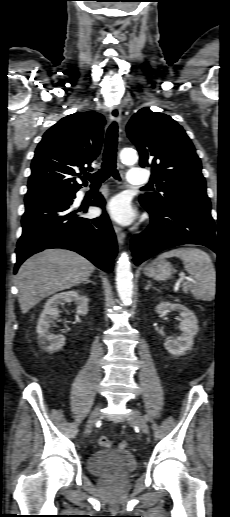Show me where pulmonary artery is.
<instances>
[{"label":"pulmonary artery","mask_w":230,"mask_h":517,"mask_svg":"<svg viewBox=\"0 0 230 517\" xmlns=\"http://www.w3.org/2000/svg\"><path fill=\"white\" fill-rule=\"evenodd\" d=\"M149 180V176L144 169H129L127 183L129 185H143Z\"/></svg>","instance_id":"e3ab8cb5"}]
</instances>
